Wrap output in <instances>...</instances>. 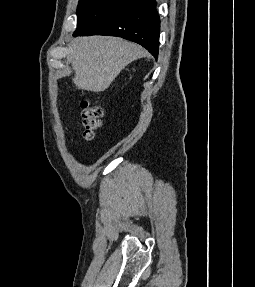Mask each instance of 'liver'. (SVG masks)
<instances>
[{
  "label": "liver",
  "instance_id": "obj_1",
  "mask_svg": "<svg viewBox=\"0 0 255 287\" xmlns=\"http://www.w3.org/2000/svg\"><path fill=\"white\" fill-rule=\"evenodd\" d=\"M146 56L145 50L121 38H75L70 44L68 62L74 70L78 90L104 92L125 66Z\"/></svg>",
  "mask_w": 255,
  "mask_h": 287
}]
</instances>
